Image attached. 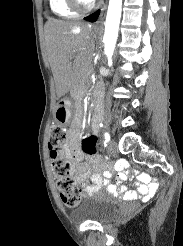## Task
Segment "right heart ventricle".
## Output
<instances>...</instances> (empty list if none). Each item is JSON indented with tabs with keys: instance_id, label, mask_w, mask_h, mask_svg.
Instances as JSON below:
<instances>
[{
	"instance_id": "right-heart-ventricle-1",
	"label": "right heart ventricle",
	"mask_w": 183,
	"mask_h": 246,
	"mask_svg": "<svg viewBox=\"0 0 183 246\" xmlns=\"http://www.w3.org/2000/svg\"><path fill=\"white\" fill-rule=\"evenodd\" d=\"M51 11L58 17L71 18L78 14L71 8L68 0H49Z\"/></svg>"
}]
</instances>
